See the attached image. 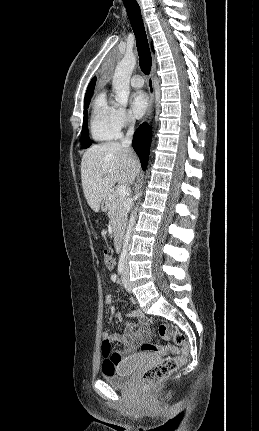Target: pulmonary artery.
<instances>
[{
  "mask_svg": "<svg viewBox=\"0 0 259 431\" xmlns=\"http://www.w3.org/2000/svg\"><path fill=\"white\" fill-rule=\"evenodd\" d=\"M130 84L134 88H141L144 84V80L141 75H133L130 80Z\"/></svg>",
  "mask_w": 259,
  "mask_h": 431,
  "instance_id": "e3ab8cb5",
  "label": "pulmonary artery"
}]
</instances>
